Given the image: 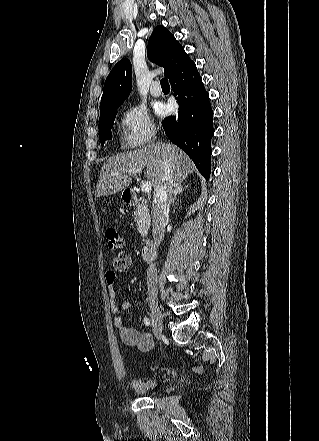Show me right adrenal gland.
Returning a JSON list of instances; mask_svg holds the SVG:
<instances>
[{"label": "right adrenal gland", "mask_w": 319, "mask_h": 441, "mask_svg": "<svg viewBox=\"0 0 319 441\" xmlns=\"http://www.w3.org/2000/svg\"><path fill=\"white\" fill-rule=\"evenodd\" d=\"M184 189H185V186H183L181 183L176 184L174 192H173V198L170 202L172 207L174 206V203L177 199V195L182 193L184 191Z\"/></svg>", "instance_id": "1"}]
</instances>
